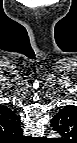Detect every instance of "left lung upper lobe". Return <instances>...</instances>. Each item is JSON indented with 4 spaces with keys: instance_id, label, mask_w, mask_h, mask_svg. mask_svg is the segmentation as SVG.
<instances>
[{
    "instance_id": "1",
    "label": "left lung upper lobe",
    "mask_w": 77,
    "mask_h": 143,
    "mask_svg": "<svg viewBox=\"0 0 77 143\" xmlns=\"http://www.w3.org/2000/svg\"><path fill=\"white\" fill-rule=\"evenodd\" d=\"M72 121H64L56 125H52L54 131H57L61 134V136L66 137V135L69 133L68 131L71 130V123Z\"/></svg>"
}]
</instances>
